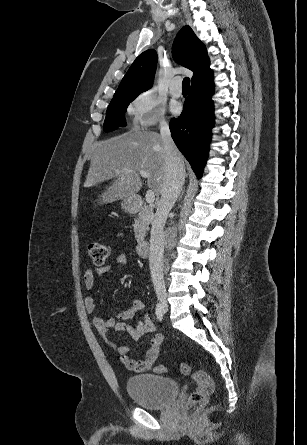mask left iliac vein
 Segmentation results:
<instances>
[{"label": "left iliac vein", "mask_w": 307, "mask_h": 445, "mask_svg": "<svg viewBox=\"0 0 307 445\" xmlns=\"http://www.w3.org/2000/svg\"><path fill=\"white\" fill-rule=\"evenodd\" d=\"M166 310H167V308L165 307V308H164V312H166Z\"/></svg>", "instance_id": "left-iliac-vein-1"}]
</instances>
